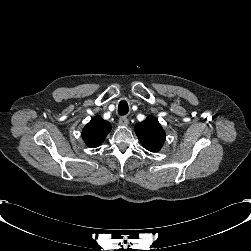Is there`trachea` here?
I'll use <instances>...</instances> for the list:
<instances>
[{
  "label": "trachea",
  "instance_id": "3493384b",
  "mask_svg": "<svg viewBox=\"0 0 251 251\" xmlns=\"http://www.w3.org/2000/svg\"><path fill=\"white\" fill-rule=\"evenodd\" d=\"M129 107L126 101L122 100L118 105V114L124 116L128 113Z\"/></svg>",
  "mask_w": 251,
  "mask_h": 251
}]
</instances>
